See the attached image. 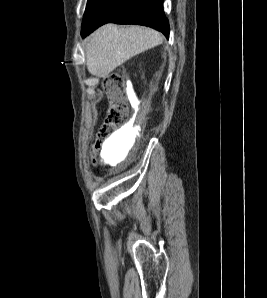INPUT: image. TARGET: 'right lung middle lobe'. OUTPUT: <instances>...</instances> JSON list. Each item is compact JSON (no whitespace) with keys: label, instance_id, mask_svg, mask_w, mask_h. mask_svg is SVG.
<instances>
[{"label":"right lung middle lobe","instance_id":"obj_1","mask_svg":"<svg viewBox=\"0 0 267 298\" xmlns=\"http://www.w3.org/2000/svg\"><path fill=\"white\" fill-rule=\"evenodd\" d=\"M105 2L106 0H88L83 23H87L92 20Z\"/></svg>","mask_w":267,"mask_h":298}]
</instances>
